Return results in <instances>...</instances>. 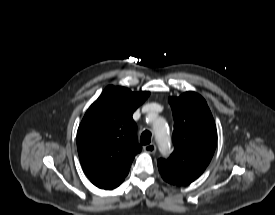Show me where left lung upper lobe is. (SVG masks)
<instances>
[{
	"instance_id": "5c2ea615",
	"label": "left lung upper lobe",
	"mask_w": 275,
	"mask_h": 215,
	"mask_svg": "<svg viewBox=\"0 0 275 215\" xmlns=\"http://www.w3.org/2000/svg\"><path fill=\"white\" fill-rule=\"evenodd\" d=\"M174 117V151L158 160L162 178L173 185H187L210 163L217 144L214 119L206 101L195 92L168 99Z\"/></svg>"
}]
</instances>
